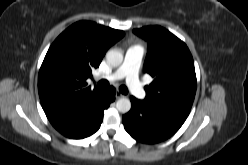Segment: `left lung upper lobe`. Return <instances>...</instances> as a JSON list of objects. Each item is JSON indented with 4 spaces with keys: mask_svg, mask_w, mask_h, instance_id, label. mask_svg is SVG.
Listing matches in <instances>:
<instances>
[{
    "mask_svg": "<svg viewBox=\"0 0 248 165\" xmlns=\"http://www.w3.org/2000/svg\"><path fill=\"white\" fill-rule=\"evenodd\" d=\"M148 41L144 72L153 77L143 102L187 117L196 93V74L186 44L161 26L134 29Z\"/></svg>",
    "mask_w": 248,
    "mask_h": 165,
    "instance_id": "left-lung-upper-lobe-1",
    "label": "left lung upper lobe"
}]
</instances>
